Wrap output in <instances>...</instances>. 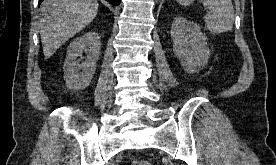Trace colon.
<instances>
[{"label": "colon", "instance_id": "obj_1", "mask_svg": "<svg viewBox=\"0 0 276 165\" xmlns=\"http://www.w3.org/2000/svg\"><path fill=\"white\" fill-rule=\"evenodd\" d=\"M134 165H151V163L146 160H140V161L134 162Z\"/></svg>", "mask_w": 276, "mask_h": 165}]
</instances>
